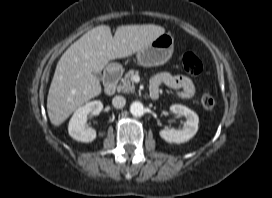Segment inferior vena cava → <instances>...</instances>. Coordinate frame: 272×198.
Returning a JSON list of instances; mask_svg holds the SVG:
<instances>
[{
	"instance_id": "602c4592",
	"label": "inferior vena cava",
	"mask_w": 272,
	"mask_h": 198,
	"mask_svg": "<svg viewBox=\"0 0 272 198\" xmlns=\"http://www.w3.org/2000/svg\"><path fill=\"white\" fill-rule=\"evenodd\" d=\"M112 104L115 108H123L126 104V99L123 96H115L112 99Z\"/></svg>"
}]
</instances>
